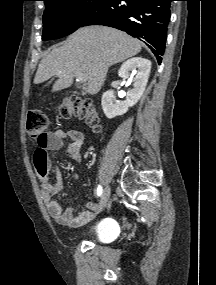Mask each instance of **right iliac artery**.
I'll return each mask as SVG.
<instances>
[{"label": "right iliac artery", "instance_id": "82829eb1", "mask_svg": "<svg viewBox=\"0 0 216 285\" xmlns=\"http://www.w3.org/2000/svg\"><path fill=\"white\" fill-rule=\"evenodd\" d=\"M101 194H102V186L98 185V187H97V195L101 196Z\"/></svg>", "mask_w": 216, "mask_h": 285}]
</instances>
